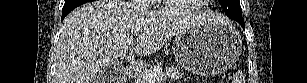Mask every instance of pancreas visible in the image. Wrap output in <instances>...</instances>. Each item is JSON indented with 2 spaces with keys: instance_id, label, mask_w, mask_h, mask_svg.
<instances>
[{
  "instance_id": "cf45deb5",
  "label": "pancreas",
  "mask_w": 307,
  "mask_h": 83,
  "mask_svg": "<svg viewBox=\"0 0 307 83\" xmlns=\"http://www.w3.org/2000/svg\"><path fill=\"white\" fill-rule=\"evenodd\" d=\"M149 71H152L157 74H162L164 78L172 79V80L179 79L183 76V73L180 72V70L175 67L162 68L160 65H156L154 66V68H151ZM136 83H145L144 71L139 72L136 78Z\"/></svg>"
}]
</instances>
